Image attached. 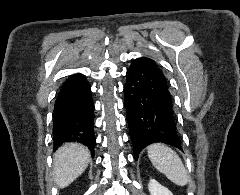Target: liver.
<instances>
[{
  "mask_svg": "<svg viewBox=\"0 0 240 195\" xmlns=\"http://www.w3.org/2000/svg\"><path fill=\"white\" fill-rule=\"evenodd\" d=\"M91 155L82 143H64L54 153L53 177L58 187H67L85 171Z\"/></svg>",
  "mask_w": 240,
  "mask_h": 195,
  "instance_id": "obj_1",
  "label": "liver"
}]
</instances>
